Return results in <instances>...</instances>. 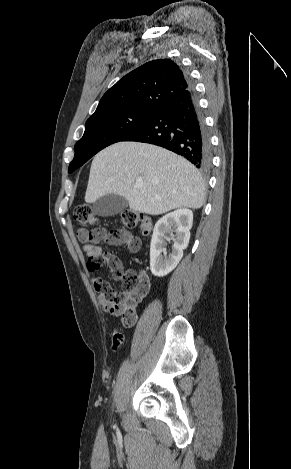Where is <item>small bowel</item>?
I'll list each match as a JSON object with an SVG mask.
<instances>
[{"label":"small bowel","mask_w":291,"mask_h":469,"mask_svg":"<svg viewBox=\"0 0 291 469\" xmlns=\"http://www.w3.org/2000/svg\"><path fill=\"white\" fill-rule=\"evenodd\" d=\"M78 240L82 243V251L83 253L88 257V260L90 258H95V257H102L105 261L106 264H108L110 267L112 266H118L121 267V262L120 260L113 255L112 253L108 251H104L100 246L95 245L94 243L90 242L86 238V232L83 229H80L77 233ZM109 244L112 245H120V244H125L129 251L131 252H137L140 249L141 246V241L140 239L133 235V234H127L126 238L122 242H108ZM90 270V269H89ZM94 286L99 283V282H106L101 278H94L93 279ZM107 283V282H106ZM138 286L141 288L145 289V295L148 293L149 288H150V283L149 280L146 276H141ZM99 301L102 304L103 308L105 311L110 312L114 314L113 308H114V303L110 300H108L102 293L99 292Z\"/></svg>","instance_id":"obj_1"}]
</instances>
